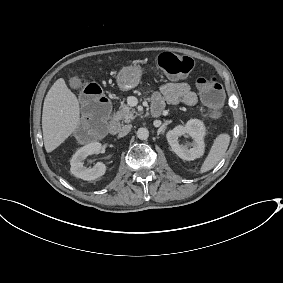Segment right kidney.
Returning <instances> with one entry per match:
<instances>
[{"label": "right kidney", "mask_w": 283, "mask_h": 283, "mask_svg": "<svg viewBox=\"0 0 283 283\" xmlns=\"http://www.w3.org/2000/svg\"><path fill=\"white\" fill-rule=\"evenodd\" d=\"M101 152V144L99 142H92L80 147L72 156L70 161L71 173L78 178L90 181L102 177L107 171V165L104 163H97L91 167H84L83 161L89 154Z\"/></svg>", "instance_id": "right-kidney-1"}]
</instances>
